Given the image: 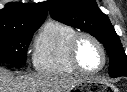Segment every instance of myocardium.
Instances as JSON below:
<instances>
[{
	"label": "myocardium",
	"mask_w": 127,
	"mask_h": 92,
	"mask_svg": "<svg viewBox=\"0 0 127 92\" xmlns=\"http://www.w3.org/2000/svg\"><path fill=\"white\" fill-rule=\"evenodd\" d=\"M84 38L91 40L99 48V50L102 54V59H103L102 64L96 70L84 69L81 66V64L79 63L78 56H77V48H78L79 42ZM68 57H69V61H70L71 65L73 66V68L77 72L83 73V74L99 73L105 68L106 63H107V52H106L103 44L100 42V40L98 38H96L94 35H92L88 32H77L71 38L70 43H69V47H68Z\"/></svg>",
	"instance_id": "myocardium-1"
}]
</instances>
